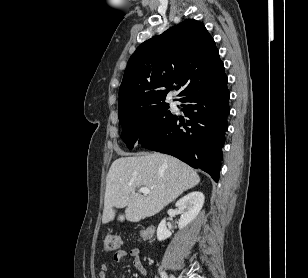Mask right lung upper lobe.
Segmentation results:
<instances>
[{
	"label": "right lung upper lobe",
	"mask_w": 308,
	"mask_h": 278,
	"mask_svg": "<svg viewBox=\"0 0 308 278\" xmlns=\"http://www.w3.org/2000/svg\"><path fill=\"white\" fill-rule=\"evenodd\" d=\"M224 76V65L205 26L186 20L143 42L133 53L119 89V120L164 102L173 83L183 87L181 100Z\"/></svg>",
	"instance_id": "1"
}]
</instances>
